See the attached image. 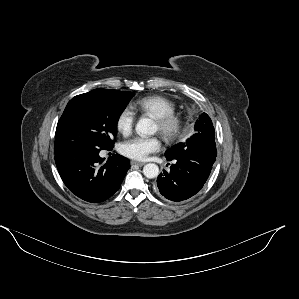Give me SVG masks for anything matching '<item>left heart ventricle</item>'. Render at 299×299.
<instances>
[{"instance_id":"obj_1","label":"left heart ventricle","mask_w":299,"mask_h":299,"mask_svg":"<svg viewBox=\"0 0 299 299\" xmlns=\"http://www.w3.org/2000/svg\"><path fill=\"white\" fill-rule=\"evenodd\" d=\"M155 131H159V126L156 122H155Z\"/></svg>"}]
</instances>
